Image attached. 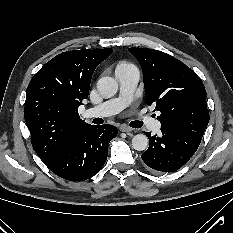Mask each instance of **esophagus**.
Masks as SVG:
<instances>
[{
    "instance_id": "obj_1",
    "label": "esophagus",
    "mask_w": 233,
    "mask_h": 233,
    "mask_svg": "<svg viewBox=\"0 0 233 233\" xmlns=\"http://www.w3.org/2000/svg\"><path fill=\"white\" fill-rule=\"evenodd\" d=\"M119 130L121 132H126V133L133 131V129L131 127L127 126V125H121Z\"/></svg>"
}]
</instances>
